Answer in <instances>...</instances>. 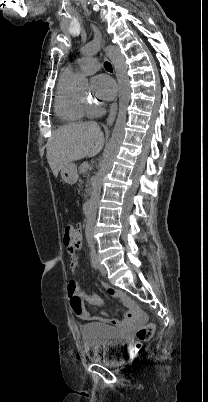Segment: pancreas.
<instances>
[{
  "mask_svg": "<svg viewBox=\"0 0 208 402\" xmlns=\"http://www.w3.org/2000/svg\"><path fill=\"white\" fill-rule=\"evenodd\" d=\"M79 174H83V178H87V182H86V194L85 196H90L91 194V188H90V182H89V178H90V174H88V176H85V174H87V170H85V168H83V164H81L80 168H79Z\"/></svg>",
  "mask_w": 208,
  "mask_h": 402,
  "instance_id": "pancreas-1",
  "label": "pancreas"
}]
</instances>
